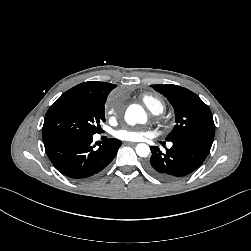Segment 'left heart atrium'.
Returning a JSON list of instances; mask_svg holds the SVG:
<instances>
[{"label":"left heart atrium","instance_id":"1","mask_svg":"<svg viewBox=\"0 0 251 251\" xmlns=\"http://www.w3.org/2000/svg\"><path fill=\"white\" fill-rule=\"evenodd\" d=\"M150 134L149 131L136 128H123L116 131L117 138L124 141H140Z\"/></svg>","mask_w":251,"mask_h":251}]
</instances>
